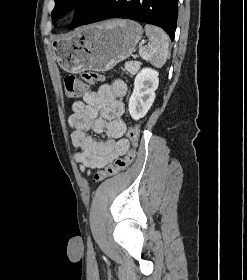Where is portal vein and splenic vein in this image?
Listing matches in <instances>:
<instances>
[{
    "mask_svg": "<svg viewBox=\"0 0 247 280\" xmlns=\"http://www.w3.org/2000/svg\"><path fill=\"white\" fill-rule=\"evenodd\" d=\"M144 43H145V41H143V42L141 43V45L144 44Z\"/></svg>",
    "mask_w": 247,
    "mask_h": 280,
    "instance_id": "1",
    "label": "portal vein and splenic vein"
}]
</instances>
